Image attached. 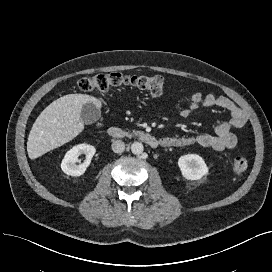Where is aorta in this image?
Wrapping results in <instances>:
<instances>
[{
    "label": "aorta",
    "instance_id": "1",
    "mask_svg": "<svg viewBox=\"0 0 272 272\" xmlns=\"http://www.w3.org/2000/svg\"><path fill=\"white\" fill-rule=\"evenodd\" d=\"M144 150L141 142H133L131 145V152L135 155H140Z\"/></svg>",
    "mask_w": 272,
    "mask_h": 272
}]
</instances>
